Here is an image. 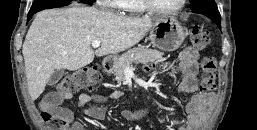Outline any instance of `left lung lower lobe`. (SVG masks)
<instances>
[{"label": "left lung lower lobe", "mask_w": 257, "mask_h": 130, "mask_svg": "<svg viewBox=\"0 0 257 130\" xmlns=\"http://www.w3.org/2000/svg\"><path fill=\"white\" fill-rule=\"evenodd\" d=\"M214 20L218 23V26L221 29V18H215Z\"/></svg>", "instance_id": "obj_1"}]
</instances>
